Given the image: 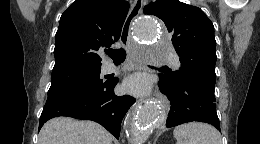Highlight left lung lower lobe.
<instances>
[{"mask_svg": "<svg viewBox=\"0 0 260 144\" xmlns=\"http://www.w3.org/2000/svg\"><path fill=\"white\" fill-rule=\"evenodd\" d=\"M159 77L160 91L170 102L167 128L199 121L212 124L220 130L214 87L193 76H187L177 83L172 82L167 73L159 74Z\"/></svg>", "mask_w": 260, "mask_h": 144, "instance_id": "obj_1", "label": "left lung lower lobe"}]
</instances>
